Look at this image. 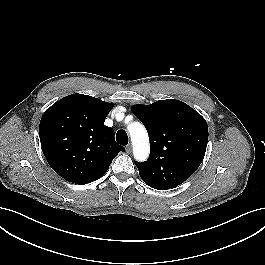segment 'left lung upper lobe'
<instances>
[{"label":"left lung upper lobe","instance_id":"left-lung-upper-lobe-1","mask_svg":"<svg viewBox=\"0 0 265 265\" xmlns=\"http://www.w3.org/2000/svg\"><path fill=\"white\" fill-rule=\"evenodd\" d=\"M133 113L150 136V156L135 162L140 177L152 188H175L200 166L207 147L205 119L187 104L160 100L151 105H134Z\"/></svg>","mask_w":265,"mask_h":265}]
</instances>
